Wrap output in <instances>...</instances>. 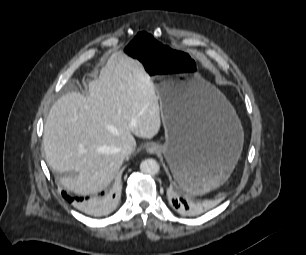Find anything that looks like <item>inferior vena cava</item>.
<instances>
[{"label":"inferior vena cava","instance_id":"1","mask_svg":"<svg viewBox=\"0 0 306 255\" xmlns=\"http://www.w3.org/2000/svg\"><path fill=\"white\" fill-rule=\"evenodd\" d=\"M135 150V146L131 145V144H124L121 148H120V153L124 156L127 157L129 156L133 151Z\"/></svg>","mask_w":306,"mask_h":255}]
</instances>
